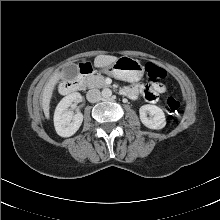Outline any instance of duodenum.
<instances>
[{"mask_svg":"<svg viewBox=\"0 0 220 220\" xmlns=\"http://www.w3.org/2000/svg\"><path fill=\"white\" fill-rule=\"evenodd\" d=\"M92 72L93 68L90 64H81L77 76L73 80L67 81L62 84L61 92L64 94H70L78 91L82 86L84 78L90 75Z\"/></svg>","mask_w":220,"mask_h":220,"instance_id":"obj_1","label":"duodenum"}]
</instances>
